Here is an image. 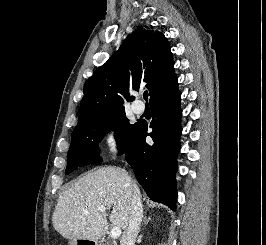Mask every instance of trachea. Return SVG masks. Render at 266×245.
Returning a JSON list of instances; mask_svg holds the SVG:
<instances>
[{"instance_id":"obj_1","label":"trachea","mask_w":266,"mask_h":245,"mask_svg":"<svg viewBox=\"0 0 266 245\" xmlns=\"http://www.w3.org/2000/svg\"><path fill=\"white\" fill-rule=\"evenodd\" d=\"M147 98H148V92H144V100H146V102H147Z\"/></svg>"}]
</instances>
